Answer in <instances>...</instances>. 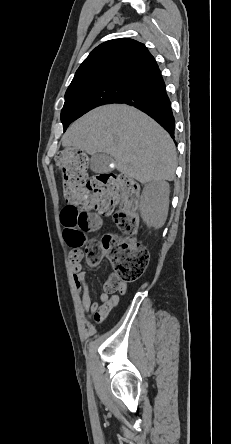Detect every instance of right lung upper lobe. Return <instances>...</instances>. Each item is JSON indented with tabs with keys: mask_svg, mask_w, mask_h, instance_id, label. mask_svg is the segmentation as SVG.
I'll return each instance as SVG.
<instances>
[{
	"mask_svg": "<svg viewBox=\"0 0 231 444\" xmlns=\"http://www.w3.org/2000/svg\"><path fill=\"white\" fill-rule=\"evenodd\" d=\"M161 76L146 46L132 39H115L96 47L82 62L67 90L105 83L134 87Z\"/></svg>",
	"mask_w": 231,
	"mask_h": 444,
	"instance_id": "1",
	"label": "right lung upper lobe"
}]
</instances>
